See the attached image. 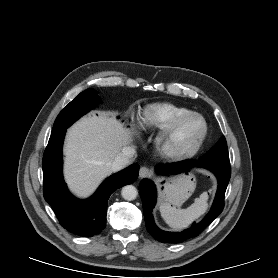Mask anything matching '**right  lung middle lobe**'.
<instances>
[{
    "mask_svg": "<svg viewBox=\"0 0 278 278\" xmlns=\"http://www.w3.org/2000/svg\"><path fill=\"white\" fill-rule=\"evenodd\" d=\"M100 101L101 99L98 93L93 89H87L81 92L60 112L54 122L52 134L66 130L81 116L98 105Z\"/></svg>",
    "mask_w": 278,
    "mask_h": 278,
    "instance_id": "dd1d6c3e",
    "label": "right lung middle lobe"
}]
</instances>
